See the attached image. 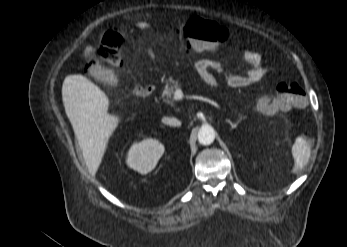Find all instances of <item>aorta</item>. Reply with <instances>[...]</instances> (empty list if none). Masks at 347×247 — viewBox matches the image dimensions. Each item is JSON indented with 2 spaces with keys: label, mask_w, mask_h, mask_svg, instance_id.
Here are the masks:
<instances>
[{
  "label": "aorta",
  "mask_w": 347,
  "mask_h": 247,
  "mask_svg": "<svg viewBox=\"0 0 347 247\" xmlns=\"http://www.w3.org/2000/svg\"><path fill=\"white\" fill-rule=\"evenodd\" d=\"M215 139V131L210 126H203L198 133V141L202 145H210Z\"/></svg>",
  "instance_id": "762f6f07"
}]
</instances>
